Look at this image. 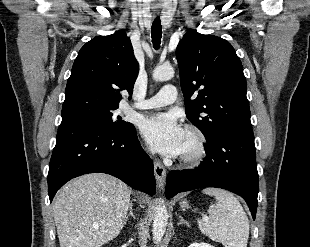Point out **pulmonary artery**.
I'll use <instances>...</instances> for the list:
<instances>
[{
    "mask_svg": "<svg viewBox=\"0 0 310 247\" xmlns=\"http://www.w3.org/2000/svg\"><path fill=\"white\" fill-rule=\"evenodd\" d=\"M177 99V90L173 85H165L153 97L139 103L132 104V107L138 109H151L156 107L165 106L173 103Z\"/></svg>",
    "mask_w": 310,
    "mask_h": 247,
    "instance_id": "obj_1",
    "label": "pulmonary artery"
}]
</instances>
